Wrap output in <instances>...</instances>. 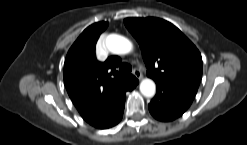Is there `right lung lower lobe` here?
Masks as SVG:
<instances>
[{"instance_id": "98d812e1", "label": "right lung lower lobe", "mask_w": 247, "mask_h": 145, "mask_svg": "<svg viewBox=\"0 0 247 145\" xmlns=\"http://www.w3.org/2000/svg\"><path fill=\"white\" fill-rule=\"evenodd\" d=\"M138 84V80L135 78L127 87V89L124 91V99L122 102V106L120 108V110L118 111V113L116 115H114L113 117L104 120L103 122L97 124L95 127L99 128V129H105V128H110L116 124H118L120 122V120L122 119V115H123V111H124V105H125V93L126 91H131L133 90L136 85Z\"/></svg>"}]
</instances>
